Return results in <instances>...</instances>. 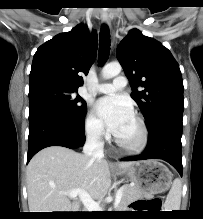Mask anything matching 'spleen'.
Here are the masks:
<instances>
[{"label": "spleen", "instance_id": "3e777b00", "mask_svg": "<svg viewBox=\"0 0 203 219\" xmlns=\"http://www.w3.org/2000/svg\"><path fill=\"white\" fill-rule=\"evenodd\" d=\"M180 203L181 181L175 179L164 204L165 211L180 210Z\"/></svg>", "mask_w": 203, "mask_h": 219}]
</instances>
